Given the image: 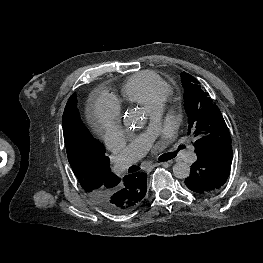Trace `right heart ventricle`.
Wrapping results in <instances>:
<instances>
[{"mask_svg":"<svg viewBox=\"0 0 263 263\" xmlns=\"http://www.w3.org/2000/svg\"><path fill=\"white\" fill-rule=\"evenodd\" d=\"M124 97L151 109L163 103L170 94V87L159 75L145 71L130 76L122 87Z\"/></svg>","mask_w":263,"mask_h":263,"instance_id":"1","label":"right heart ventricle"}]
</instances>
